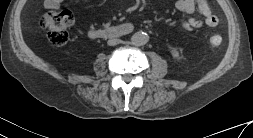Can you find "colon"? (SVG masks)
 <instances>
[{"label":"colon","instance_id":"colon-1","mask_svg":"<svg viewBox=\"0 0 253 138\" xmlns=\"http://www.w3.org/2000/svg\"><path fill=\"white\" fill-rule=\"evenodd\" d=\"M52 23H53V28H52L53 34L56 35L57 37H62V35H64L65 33V25L63 21L59 17H56L54 18ZM217 40H218L217 37L213 39V41L215 42Z\"/></svg>","mask_w":253,"mask_h":138}]
</instances>
